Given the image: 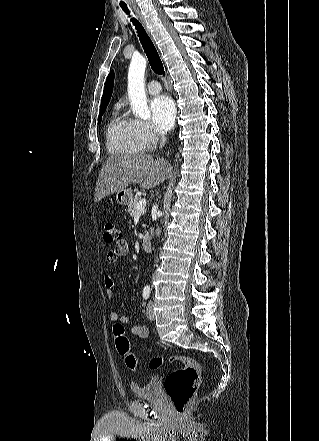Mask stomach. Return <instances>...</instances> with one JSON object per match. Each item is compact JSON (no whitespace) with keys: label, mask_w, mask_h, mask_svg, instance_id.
<instances>
[{"label":"stomach","mask_w":319,"mask_h":441,"mask_svg":"<svg viewBox=\"0 0 319 441\" xmlns=\"http://www.w3.org/2000/svg\"><path fill=\"white\" fill-rule=\"evenodd\" d=\"M133 199V193L131 189H123L116 193V201L120 205H127Z\"/></svg>","instance_id":"0dacf381"}]
</instances>
